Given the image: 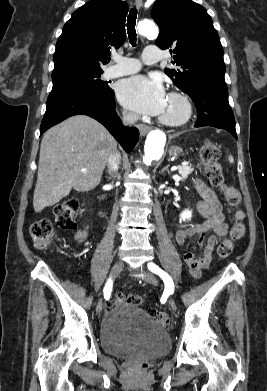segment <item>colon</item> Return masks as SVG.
I'll use <instances>...</instances> for the list:
<instances>
[{
	"instance_id": "colon-1",
	"label": "colon",
	"mask_w": 267,
	"mask_h": 391,
	"mask_svg": "<svg viewBox=\"0 0 267 391\" xmlns=\"http://www.w3.org/2000/svg\"><path fill=\"white\" fill-rule=\"evenodd\" d=\"M219 157L220 150L218 146L210 140L204 141L200 148V158L204 165L206 177L212 186L221 189L227 204L234 210V224L229 236L219 244L217 249L218 256L224 259L232 253L235 242L243 238L246 226L244 224L245 214L239 209L241 204L240 193L236 188L224 182ZM79 209L80 203L76 199H68L57 204L54 208L55 225L63 230L73 229ZM30 235L36 248H46L55 238L53 222L49 219H41L34 222L30 227ZM124 302L139 306L143 302V298L138 294L124 295L122 293H117L113 298V303L115 304ZM150 315L162 326L168 327L170 325V317L165 312L151 309Z\"/></svg>"
}]
</instances>
